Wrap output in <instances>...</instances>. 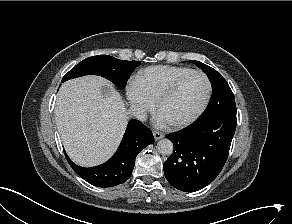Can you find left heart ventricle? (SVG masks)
<instances>
[{"label":"left heart ventricle","instance_id":"obj_1","mask_svg":"<svg viewBox=\"0 0 292 224\" xmlns=\"http://www.w3.org/2000/svg\"><path fill=\"white\" fill-rule=\"evenodd\" d=\"M206 93L207 83L205 79L202 76H194L161 105L158 113L168 124L184 121L194 115L200 108Z\"/></svg>","mask_w":292,"mask_h":224}]
</instances>
